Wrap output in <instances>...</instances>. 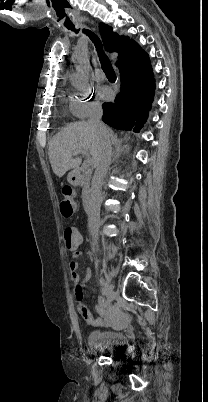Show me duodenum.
I'll return each mask as SVG.
<instances>
[{
  "mask_svg": "<svg viewBox=\"0 0 208 402\" xmlns=\"http://www.w3.org/2000/svg\"><path fill=\"white\" fill-rule=\"evenodd\" d=\"M76 177L80 182H83L85 179L83 172L80 171L76 172ZM83 206L86 211H89L91 208V196L88 191H86L83 195Z\"/></svg>",
  "mask_w": 208,
  "mask_h": 402,
  "instance_id": "410a0bca",
  "label": "duodenum"
}]
</instances>
